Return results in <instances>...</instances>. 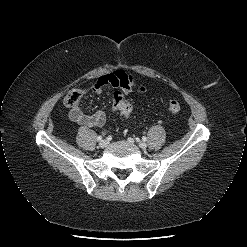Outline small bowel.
Returning a JSON list of instances; mask_svg holds the SVG:
<instances>
[{
  "mask_svg": "<svg viewBox=\"0 0 247 247\" xmlns=\"http://www.w3.org/2000/svg\"><path fill=\"white\" fill-rule=\"evenodd\" d=\"M106 86L119 88L124 94L127 95L131 94L138 88L133 75L122 69L100 76L95 82L93 90L99 93ZM139 89L141 91L143 90L142 87ZM69 116L72 121L87 127H100L106 122V114L103 111H96L92 114H86L76 107L70 110Z\"/></svg>",
  "mask_w": 247,
  "mask_h": 247,
  "instance_id": "1",
  "label": "small bowel"
}]
</instances>
